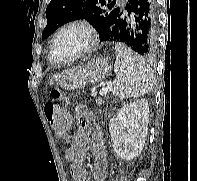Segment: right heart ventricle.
Returning a JSON list of instances; mask_svg holds the SVG:
<instances>
[{
	"instance_id": "1",
	"label": "right heart ventricle",
	"mask_w": 197,
	"mask_h": 181,
	"mask_svg": "<svg viewBox=\"0 0 197 181\" xmlns=\"http://www.w3.org/2000/svg\"><path fill=\"white\" fill-rule=\"evenodd\" d=\"M48 58H49L50 61L52 60L51 53L49 54V57Z\"/></svg>"
}]
</instances>
